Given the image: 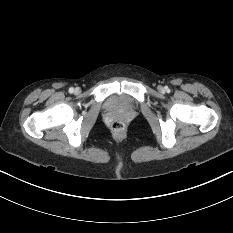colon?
I'll list each match as a JSON object with an SVG mask.
<instances>
[{
    "mask_svg": "<svg viewBox=\"0 0 233 233\" xmlns=\"http://www.w3.org/2000/svg\"><path fill=\"white\" fill-rule=\"evenodd\" d=\"M111 128L114 132L120 133L124 130V124L120 121H115L112 123Z\"/></svg>",
    "mask_w": 233,
    "mask_h": 233,
    "instance_id": "5ec220e1",
    "label": "colon"
}]
</instances>
